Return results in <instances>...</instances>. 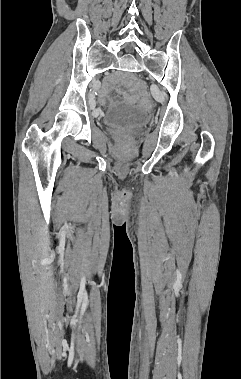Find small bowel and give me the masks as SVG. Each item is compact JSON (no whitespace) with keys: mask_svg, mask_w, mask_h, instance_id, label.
Wrapping results in <instances>:
<instances>
[{"mask_svg":"<svg viewBox=\"0 0 241 379\" xmlns=\"http://www.w3.org/2000/svg\"><path fill=\"white\" fill-rule=\"evenodd\" d=\"M112 87H113V82L111 80H108L104 83L103 87L101 88L98 94V99H99L100 104L104 105L107 103V96ZM124 99L127 102L135 103L138 100V97L132 94H124Z\"/></svg>","mask_w":241,"mask_h":379,"instance_id":"1","label":"small bowel"}]
</instances>
